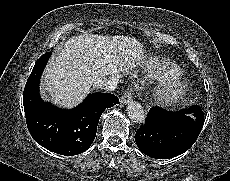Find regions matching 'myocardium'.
<instances>
[{
	"label": "myocardium",
	"mask_w": 230,
	"mask_h": 181,
	"mask_svg": "<svg viewBox=\"0 0 230 181\" xmlns=\"http://www.w3.org/2000/svg\"><path fill=\"white\" fill-rule=\"evenodd\" d=\"M188 88L186 78L182 73L176 72L161 78L153 89V95L160 102L176 103L186 95Z\"/></svg>",
	"instance_id": "myocardium-1"
}]
</instances>
